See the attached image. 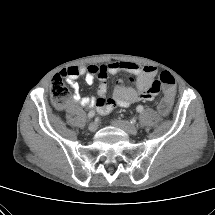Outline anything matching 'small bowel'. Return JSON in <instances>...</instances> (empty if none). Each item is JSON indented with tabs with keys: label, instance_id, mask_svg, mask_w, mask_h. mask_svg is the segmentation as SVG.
I'll list each match as a JSON object with an SVG mask.
<instances>
[{
	"label": "small bowel",
	"instance_id": "c3829d8e",
	"mask_svg": "<svg viewBox=\"0 0 215 215\" xmlns=\"http://www.w3.org/2000/svg\"><path fill=\"white\" fill-rule=\"evenodd\" d=\"M121 71L128 72L134 76L136 88L117 83L113 96L107 97V79L110 74ZM157 70L153 66L141 65L131 61H118L102 65H89L85 67L71 66L61 71L60 75L65 77L73 89L72 101L84 107L95 108L100 114H108L116 107H129L140 101H152L157 93L151 92V86ZM79 77H84L87 84L94 83L99 79L98 95L96 97H82L80 86L77 82Z\"/></svg>",
	"mask_w": 215,
	"mask_h": 215
}]
</instances>
